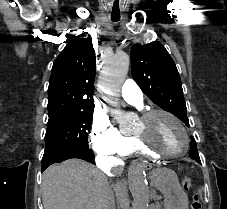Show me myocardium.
I'll list each match as a JSON object with an SVG mask.
<instances>
[{
    "mask_svg": "<svg viewBox=\"0 0 227 209\" xmlns=\"http://www.w3.org/2000/svg\"><path fill=\"white\" fill-rule=\"evenodd\" d=\"M156 114H164L166 116H168L169 118H171L182 130L183 135H184V146L182 147V149L175 151V152H160L157 151L153 148H151L138 134L134 133L133 138L135 140V142L150 156L155 157V158H161V159H170V158H176L179 157L183 154H185L187 152V150L189 149V144H190V140H189V135H188V131L186 129V126L184 125V123L181 121V119L176 116L174 113H172L171 111L167 110V109H163V108H154V109H149L146 110L142 113V115L140 116V121H144Z\"/></svg>",
    "mask_w": 227,
    "mask_h": 209,
    "instance_id": "1",
    "label": "myocardium"
}]
</instances>
